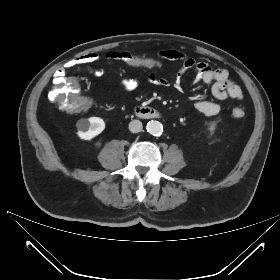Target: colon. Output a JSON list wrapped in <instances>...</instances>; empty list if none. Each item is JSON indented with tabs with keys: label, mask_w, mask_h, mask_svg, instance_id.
<instances>
[{
	"label": "colon",
	"mask_w": 280,
	"mask_h": 280,
	"mask_svg": "<svg viewBox=\"0 0 280 280\" xmlns=\"http://www.w3.org/2000/svg\"><path fill=\"white\" fill-rule=\"evenodd\" d=\"M119 65L122 69L127 70L130 67H138L140 71L147 72L149 70L162 72L166 69L167 64L164 60L147 56L145 54L131 55L128 58L124 57L120 60ZM76 81L73 78H69L65 73H57L53 87L49 92L48 99L51 102H57L63 104L66 108H72L74 112L81 113L84 110H88L92 106V101L88 97L81 98L77 94H67V89L75 85ZM233 115L237 118L243 117L244 111L241 108H237L233 111Z\"/></svg>",
	"instance_id": "1"
}]
</instances>
